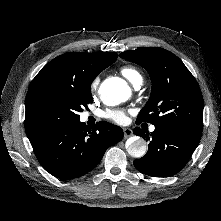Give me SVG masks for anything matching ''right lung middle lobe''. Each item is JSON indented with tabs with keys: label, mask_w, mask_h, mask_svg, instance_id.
<instances>
[{
	"label": "right lung middle lobe",
	"mask_w": 221,
	"mask_h": 221,
	"mask_svg": "<svg viewBox=\"0 0 221 221\" xmlns=\"http://www.w3.org/2000/svg\"><path fill=\"white\" fill-rule=\"evenodd\" d=\"M92 101L90 85L43 81L27 93L25 126L79 121V112Z\"/></svg>",
	"instance_id": "dd1d6c3e"
}]
</instances>
